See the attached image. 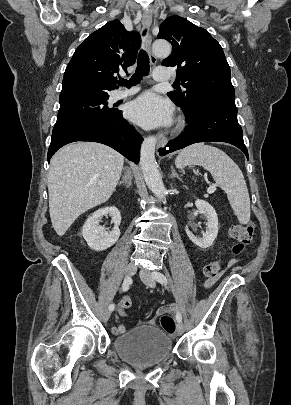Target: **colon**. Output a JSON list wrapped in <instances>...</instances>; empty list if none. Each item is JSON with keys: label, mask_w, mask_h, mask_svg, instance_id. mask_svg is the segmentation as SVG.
Here are the masks:
<instances>
[{"label": "colon", "mask_w": 291, "mask_h": 405, "mask_svg": "<svg viewBox=\"0 0 291 405\" xmlns=\"http://www.w3.org/2000/svg\"><path fill=\"white\" fill-rule=\"evenodd\" d=\"M230 236L235 241L231 248L232 255H239L241 254L245 248L249 245L252 241L254 235V227L252 225H233L230 228ZM223 261L215 260L212 262L207 263L203 267V275L213 280L217 278L219 272L221 270ZM131 298L129 296H125L121 299L120 305L127 309L131 306ZM160 323L162 328L168 332L169 334H173L176 330V324L172 316L168 314H164L160 318Z\"/></svg>", "instance_id": "1"}]
</instances>
